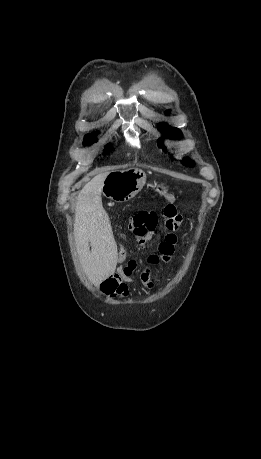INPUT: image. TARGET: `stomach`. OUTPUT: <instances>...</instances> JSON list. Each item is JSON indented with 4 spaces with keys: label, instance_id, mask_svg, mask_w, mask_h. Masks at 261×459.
Wrapping results in <instances>:
<instances>
[{
    "label": "stomach",
    "instance_id": "obj_1",
    "mask_svg": "<svg viewBox=\"0 0 261 459\" xmlns=\"http://www.w3.org/2000/svg\"><path fill=\"white\" fill-rule=\"evenodd\" d=\"M146 174L137 168H127L110 172L102 193L116 202H126L133 198L145 185Z\"/></svg>",
    "mask_w": 261,
    "mask_h": 459
}]
</instances>
